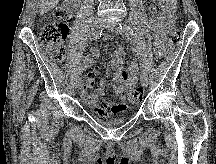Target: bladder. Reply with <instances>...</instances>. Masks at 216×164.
<instances>
[{"mask_svg":"<svg viewBox=\"0 0 216 164\" xmlns=\"http://www.w3.org/2000/svg\"><path fill=\"white\" fill-rule=\"evenodd\" d=\"M127 120V117H120L115 119H98L97 121L105 126H115L119 125Z\"/></svg>","mask_w":216,"mask_h":164,"instance_id":"obj_1","label":"bladder"}]
</instances>
